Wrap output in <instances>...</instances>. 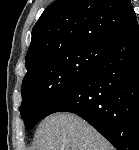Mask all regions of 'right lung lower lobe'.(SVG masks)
Listing matches in <instances>:
<instances>
[{
	"label": "right lung lower lobe",
	"instance_id": "1",
	"mask_svg": "<svg viewBox=\"0 0 139 150\" xmlns=\"http://www.w3.org/2000/svg\"><path fill=\"white\" fill-rule=\"evenodd\" d=\"M71 112L90 123L117 150H139V25L135 20L106 48L77 84L43 118Z\"/></svg>",
	"mask_w": 139,
	"mask_h": 150
}]
</instances>
